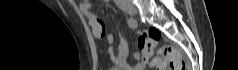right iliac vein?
<instances>
[{
  "label": "right iliac vein",
  "instance_id": "obj_1",
  "mask_svg": "<svg viewBox=\"0 0 238 70\" xmlns=\"http://www.w3.org/2000/svg\"><path fill=\"white\" fill-rule=\"evenodd\" d=\"M121 8L130 15H135L137 13L136 7L131 4H124Z\"/></svg>",
  "mask_w": 238,
  "mask_h": 70
}]
</instances>
